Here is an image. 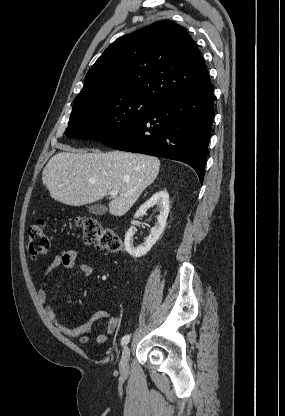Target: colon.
Masks as SVG:
<instances>
[{"label": "colon", "mask_w": 285, "mask_h": 416, "mask_svg": "<svg viewBox=\"0 0 285 416\" xmlns=\"http://www.w3.org/2000/svg\"><path fill=\"white\" fill-rule=\"evenodd\" d=\"M76 224L85 243L93 244L101 250L112 253L122 250V241L118 234L112 228L103 226L97 218H78ZM27 241L28 252L33 259L46 254L50 249V237L42 222L29 227Z\"/></svg>", "instance_id": "1"}]
</instances>
